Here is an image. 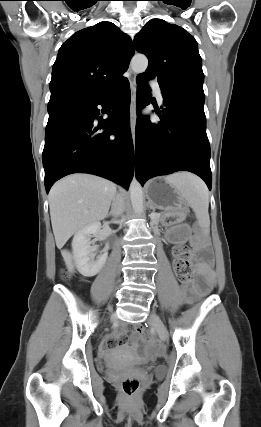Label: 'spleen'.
Listing matches in <instances>:
<instances>
[{
  "label": "spleen",
  "instance_id": "3e777b00",
  "mask_svg": "<svg viewBox=\"0 0 261 427\" xmlns=\"http://www.w3.org/2000/svg\"><path fill=\"white\" fill-rule=\"evenodd\" d=\"M180 191L182 197L194 211L199 225L208 232L210 218L208 213L209 193L205 183L197 176L182 172L166 177Z\"/></svg>",
  "mask_w": 261,
  "mask_h": 427
}]
</instances>
